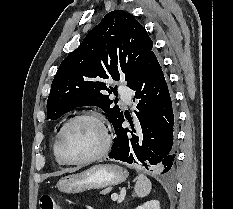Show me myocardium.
Masks as SVG:
<instances>
[{
	"label": "myocardium",
	"instance_id": "1",
	"mask_svg": "<svg viewBox=\"0 0 233 209\" xmlns=\"http://www.w3.org/2000/svg\"><path fill=\"white\" fill-rule=\"evenodd\" d=\"M83 119L93 120L100 126V128L103 132V144H102L101 148L96 153H94L88 157L76 159V160H70L67 157H65L62 153V150H61L62 139H63V136H64L66 130L68 129V127L71 124H73L76 121L83 120ZM110 145H111V136H110V132L108 130V127L105 123L104 118L96 112L85 111V112H81V113L74 115L73 117L68 119L63 124V126L61 127V129L59 130V132L57 134L55 152H56L57 158L63 164L83 165V164H88V163H91L93 161H96V160L102 158L109 151Z\"/></svg>",
	"mask_w": 233,
	"mask_h": 209
}]
</instances>
